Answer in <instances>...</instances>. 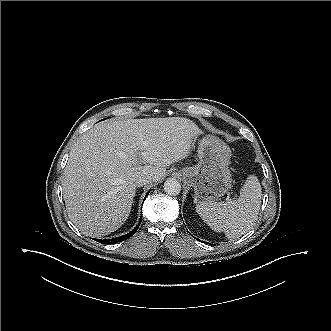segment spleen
Instances as JSON below:
<instances>
[{
    "instance_id": "3e777b00",
    "label": "spleen",
    "mask_w": 331,
    "mask_h": 331,
    "mask_svg": "<svg viewBox=\"0 0 331 331\" xmlns=\"http://www.w3.org/2000/svg\"><path fill=\"white\" fill-rule=\"evenodd\" d=\"M260 197L259 180L257 176L250 175L237 199L199 201L196 210L214 231L224 232L228 238L236 239L251 229L259 211Z\"/></svg>"
}]
</instances>
